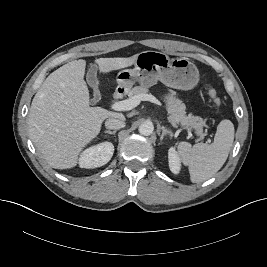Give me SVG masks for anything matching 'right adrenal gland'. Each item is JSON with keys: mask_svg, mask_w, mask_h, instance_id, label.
Listing matches in <instances>:
<instances>
[{"mask_svg": "<svg viewBox=\"0 0 267 267\" xmlns=\"http://www.w3.org/2000/svg\"><path fill=\"white\" fill-rule=\"evenodd\" d=\"M104 133L115 135L116 134V130L115 131L106 130V131H104Z\"/></svg>", "mask_w": 267, "mask_h": 267, "instance_id": "2a0ac1e0", "label": "right adrenal gland"}]
</instances>
